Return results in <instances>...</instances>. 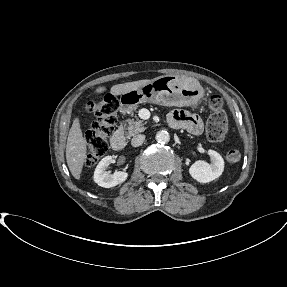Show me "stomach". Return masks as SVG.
<instances>
[{
	"label": "stomach",
	"mask_w": 287,
	"mask_h": 287,
	"mask_svg": "<svg viewBox=\"0 0 287 287\" xmlns=\"http://www.w3.org/2000/svg\"><path fill=\"white\" fill-rule=\"evenodd\" d=\"M203 88L191 79L176 75H163L139 89L124 92L120 96L119 109L131 113L138 104L151 102L164 106H195L203 97Z\"/></svg>",
	"instance_id": "obj_1"
}]
</instances>
